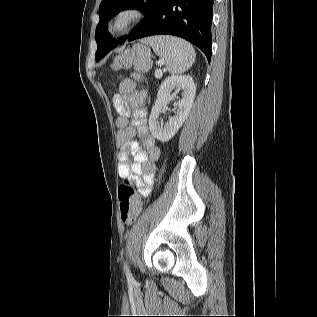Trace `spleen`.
Masks as SVG:
<instances>
[{
	"mask_svg": "<svg viewBox=\"0 0 317 317\" xmlns=\"http://www.w3.org/2000/svg\"><path fill=\"white\" fill-rule=\"evenodd\" d=\"M161 58L171 74L187 71L195 61V50L187 41L172 36H155L144 39Z\"/></svg>",
	"mask_w": 317,
	"mask_h": 317,
	"instance_id": "3e777b00",
	"label": "spleen"
}]
</instances>
